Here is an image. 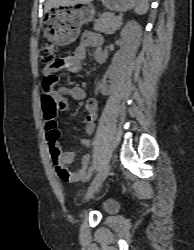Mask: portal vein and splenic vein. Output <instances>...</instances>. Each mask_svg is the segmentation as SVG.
Listing matches in <instances>:
<instances>
[{
    "label": "portal vein and splenic vein",
    "mask_w": 194,
    "mask_h": 250,
    "mask_svg": "<svg viewBox=\"0 0 194 250\" xmlns=\"http://www.w3.org/2000/svg\"><path fill=\"white\" fill-rule=\"evenodd\" d=\"M117 19H118V21H121V20H122V17H121V16H118Z\"/></svg>",
    "instance_id": "18ae733b"
}]
</instances>
